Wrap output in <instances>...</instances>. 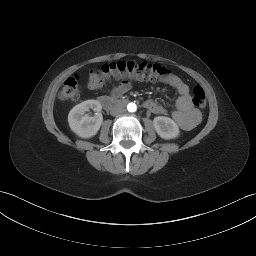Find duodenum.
Listing matches in <instances>:
<instances>
[{
	"label": "duodenum",
	"mask_w": 256,
	"mask_h": 256,
	"mask_svg": "<svg viewBox=\"0 0 256 256\" xmlns=\"http://www.w3.org/2000/svg\"><path fill=\"white\" fill-rule=\"evenodd\" d=\"M99 102L101 103L104 109L113 110V109L125 107L129 103V100L117 99L113 96L105 95L99 99Z\"/></svg>",
	"instance_id": "duodenum-1"
}]
</instances>
